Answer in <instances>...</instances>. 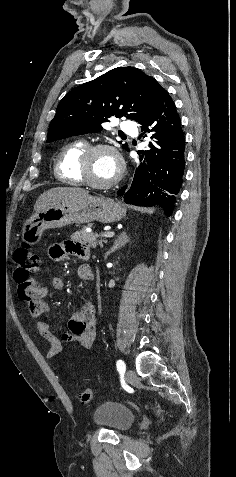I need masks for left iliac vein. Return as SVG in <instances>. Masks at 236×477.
Segmentation results:
<instances>
[{"instance_id":"1","label":"left iliac vein","mask_w":236,"mask_h":477,"mask_svg":"<svg viewBox=\"0 0 236 477\" xmlns=\"http://www.w3.org/2000/svg\"><path fill=\"white\" fill-rule=\"evenodd\" d=\"M125 379L127 382L132 383L136 379V374L132 369H127L125 372Z\"/></svg>"}]
</instances>
